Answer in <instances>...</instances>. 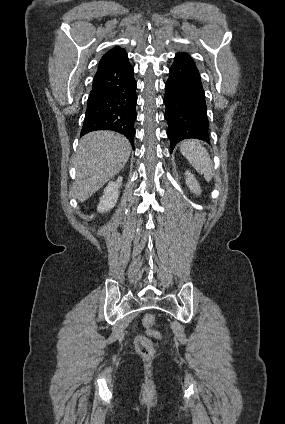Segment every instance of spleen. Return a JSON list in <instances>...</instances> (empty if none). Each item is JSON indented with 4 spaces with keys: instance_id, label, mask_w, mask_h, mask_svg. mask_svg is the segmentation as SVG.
I'll return each mask as SVG.
<instances>
[{
    "instance_id": "3e777b00",
    "label": "spleen",
    "mask_w": 285,
    "mask_h": 424,
    "mask_svg": "<svg viewBox=\"0 0 285 424\" xmlns=\"http://www.w3.org/2000/svg\"><path fill=\"white\" fill-rule=\"evenodd\" d=\"M180 152L198 173L203 174L207 181H211L213 177L212 161L207 150L198 140L188 139L182 141L180 143Z\"/></svg>"
}]
</instances>
